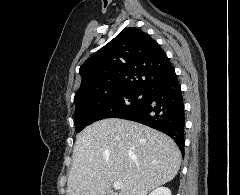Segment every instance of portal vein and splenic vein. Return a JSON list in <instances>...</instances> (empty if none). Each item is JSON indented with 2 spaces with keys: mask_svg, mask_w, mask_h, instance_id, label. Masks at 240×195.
Wrapping results in <instances>:
<instances>
[{
  "mask_svg": "<svg viewBox=\"0 0 240 195\" xmlns=\"http://www.w3.org/2000/svg\"><path fill=\"white\" fill-rule=\"evenodd\" d=\"M113 187H114V189H122V187H123L122 181H114Z\"/></svg>",
  "mask_w": 240,
  "mask_h": 195,
  "instance_id": "portal-vein-and-splenic-vein-1",
  "label": "portal vein and splenic vein"
}]
</instances>
